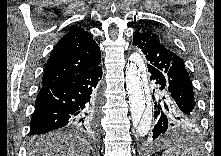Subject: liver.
<instances>
[{"mask_svg": "<svg viewBox=\"0 0 221 156\" xmlns=\"http://www.w3.org/2000/svg\"><path fill=\"white\" fill-rule=\"evenodd\" d=\"M90 144L73 133L56 132L29 145V156H89Z\"/></svg>", "mask_w": 221, "mask_h": 156, "instance_id": "obj_1", "label": "liver"}]
</instances>
